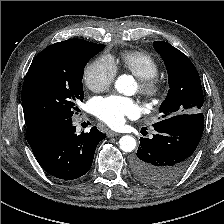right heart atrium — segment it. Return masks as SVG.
<instances>
[{"label": "right heart atrium", "instance_id": "right-heart-atrium-1", "mask_svg": "<svg viewBox=\"0 0 224 224\" xmlns=\"http://www.w3.org/2000/svg\"><path fill=\"white\" fill-rule=\"evenodd\" d=\"M117 68L112 58L100 57L89 63L84 71V82L93 92L107 90L113 83Z\"/></svg>", "mask_w": 224, "mask_h": 224}]
</instances>
